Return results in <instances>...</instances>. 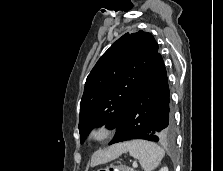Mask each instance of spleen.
Returning <instances> with one entry per match:
<instances>
[{"instance_id": "3e777b00", "label": "spleen", "mask_w": 223, "mask_h": 171, "mask_svg": "<svg viewBox=\"0 0 223 171\" xmlns=\"http://www.w3.org/2000/svg\"><path fill=\"white\" fill-rule=\"evenodd\" d=\"M130 156L139 160L144 171L157 168L165 155L163 148L146 140H132L127 142Z\"/></svg>"}]
</instances>
